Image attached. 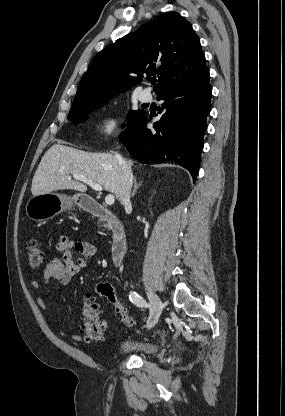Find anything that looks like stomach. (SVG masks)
<instances>
[{
  "mask_svg": "<svg viewBox=\"0 0 285 416\" xmlns=\"http://www.w3.org/2000/svg\"><path fill=\"white\" fill-rule=\"evenodd\" d=\"M80 198V200H78ZM74 204L81 206L82 196H65V194H39V196H32L25 206L26 216L34 222H45L51 220L54 216L71 210Z\"/></svg>",
  "mask_w": 285,
  "mask_h": 416,
  "instance_id": "obj_1",
  "label": "stomach"
}]
</instances>
